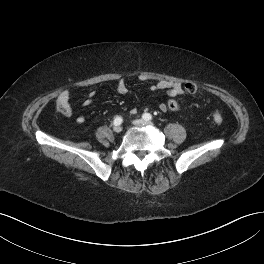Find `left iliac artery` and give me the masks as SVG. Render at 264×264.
Segmentation results:
<instances>
[{"instance_id":"obj_1","label":"left iliac artery","mask_w":264,"mask_h":264,"mask_svg":"<svg viewBox=\"0 0 264 264\" xmlns=\"http://www.w3.org/2000/svg\"><path fill=\"white\" fill-rule=\"evenodd\" d=\"M142 118L144 120L148 121V120H151L152 119V115L149 114V113H144L143 116H142Z\"/></svg>"}]
</instances>
